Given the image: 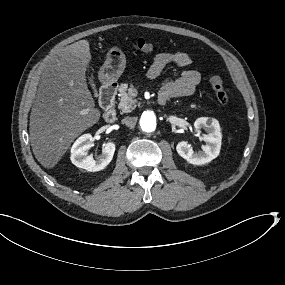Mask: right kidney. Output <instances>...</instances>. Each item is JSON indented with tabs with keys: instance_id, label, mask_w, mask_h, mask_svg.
<instances>
[{
	"instance_id": "ca27d5eb",
	"label": "right kidney",
	"mask_w": 285,
	"mask_h": 285,
	"mask_svg": "<svg viewBox=\"0 0 285 285\" xmlns=\"http://www.w3.org/2000/svg\"><path fill=\"white\" fill-rule=\"evenodd\" d=\"M93 137L90 134L81 136L72 146L71 161L78 167L89 172H98L105 169L112 161L116 145L114 142H107L102 148V154L95 160L93 157L86 156L87 152L93 146Z\"/></svg>"
}]
</instances>
